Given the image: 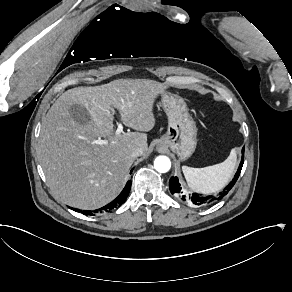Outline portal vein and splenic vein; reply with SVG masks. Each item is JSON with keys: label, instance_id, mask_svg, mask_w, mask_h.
<instances>
[{"label": "portal vein and splenic vein", "instance_id": "obj_1", "mask_svg": "<svg viewBox=\"0 0 292 292\" xmlns=\"http://www.w3.org/2000/svg\"><path fill=\"white\" fill-rule=\"evenodd\" d=\"M121 110V109H120ZM112 114L113 115H116V112L115 111H112ZM123 130V125L121 122H118V128H117V132H121ZM93 143H96V144H103L104 143V140H98V141H93Z\"/></svg>", "mask_w": 292, "mask_h": 292}]
</instances>
